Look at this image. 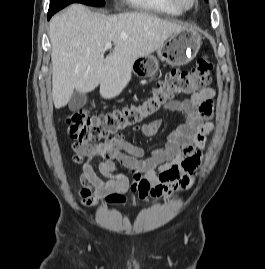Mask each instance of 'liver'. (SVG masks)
I'll return each instance as SVG.
<instances>
[{"label": "liver", "mask_w": 265, "mask_h": 269, "mask_svg": "<svg viewBox=\"0 0 265 269\" xmlns=\"http://www.w3.org/2000/svg\"><path fill=\"white\" fill-rule=\"evenodd\" d=\"M185 28L147 13L104 15L71 5L49 24L55 107L66 106L75 90L85 94L99 85L103 98L118 96L131 79L133 62ZM109 42L115 47L104 58Z\"/></svg>", "instance_id": "6515ba94"}]
</instances>
